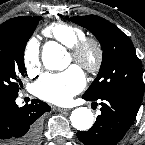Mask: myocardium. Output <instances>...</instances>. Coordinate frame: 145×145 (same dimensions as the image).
<instances>
[{
    "instance_id": "obj_1",
    "label": "myocardium",
    "mask_w": 145,
    "mask_h": 145,
    "mask_svg": "<svg viewBox=\"0 0 145 145\" xmlns=\"http://www.w3.org/2000/svg\"><path fill=\"white\" fill-rule=\"evenodd\" d=\"M88 52H92V60L87 58ZM70 55L72 60L89 74H97L103 66L104 49L96 37L84 36L80 38L70 47Z\"/></svg>"
}]
</instances>
